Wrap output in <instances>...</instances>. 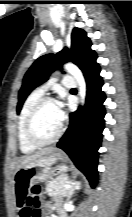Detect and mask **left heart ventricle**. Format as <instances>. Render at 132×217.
I'll return each instance as SVG.
<instances>
[{
	"instance_id": "left-heart-ventricle-1",
	"label": "left heart ventricle",
	"mask_w": 132,
	"mask_h": 217,
	"mask_svg": "<svg viewBox=\"0 0 132 217\" xmlns=\"http://www.w3.org/2000/svg\"><path fill=\"white\" fill-rule=\"evenodd\" d=\"M61 121L54 103L45 105L36 117L34 130L41 140H49L58 132Z\"/></svg>"
}]
</instances>
